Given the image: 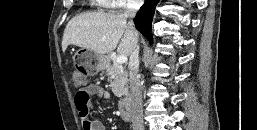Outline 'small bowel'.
Here are the masks:
<instances>
[{
    "instance_id": "small-bowel-1",
    "label": "small bowel",
    "mask_w": 257,
    "mask_h": 130,
    "mask_svg": "<svg viewBox=\"0 0 257 130\" xmlns=\"http://www.w3.org/2000/svg\"><path fill=\"white\" fill-rule=\"evenodd\" d=\"M96 96L101 99H109L110 94L102 86L91 84L84 89L79 90L74 99L75 107L83 130H106L104 123L100 119H89L92 97Z\"/></svg>"
}]
</instances>
